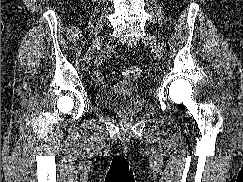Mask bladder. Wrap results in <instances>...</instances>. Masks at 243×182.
Segmentation results:
<instances>
[{"label":"bladder","mask_w":243,"mask_h":182,"mask_svg":"<svg viewBox=\"0 0 243 182\" xmlns=\"http://www.w3.org/2000/svg\"><path fill=\"white\" fill-rule=\"evenodd\" d=\"M94 99L98 106L121 115L138 114L145 106L143 97L133 92L123 94L100 90L95 93Z\"/></svg>","instance_id":"31cf9c89"}]
</instances>
